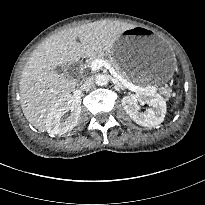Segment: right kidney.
I'll return each mask as SVG.
<instances>
[{
	"mask_svg": "<svg viewBox=\"0 0 205 205\" xmlns=\"http://www.w3.org/2000/svg\"><path fill=\"white\" fill-rule=\"evenodd\" d=\"M70 111L68 117L64 115ZM81 106L72 102V96L66 94L52 107L46 119V130L52 135H63L71 131L80 118Z\"/></svg>",
	"mask_w": 205,
	"mask_h": 205,
	"instance_id": "ca27d5eb",
	"label": "right kidney"
}]
</instances>
